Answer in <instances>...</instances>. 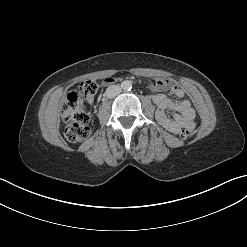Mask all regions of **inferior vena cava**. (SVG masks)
Instances as JSON below:
<instances>
[{
	"label": "inferior vena cava",
	"instance_id": "1",
	"mask_svg": "<svg viewBox=\"0 0 247 247\" xmlns=\"http://www.w3.org/2000/svg\"><path fill=\"white\" fill-rule=\"evenodd\" d=\"M122 89L119 85H111L106 89L105 95L108 98H114L121 93Z\"/></svg>",
	"mask_w": 247,
	"mask_h": 247
}]
</instances>
